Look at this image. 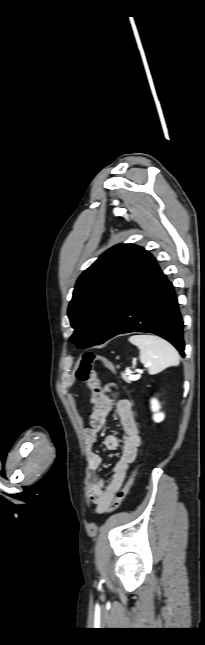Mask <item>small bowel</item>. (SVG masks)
<instances>
[{"label":"small bowel","instance_id":"c3829d8e","mask_svg":"<svg viewBox=\"0 0 205 645\" xmlns=\"http://www.w3.org/2000/svg\"><path fill=\"white\" fill-rule=\"evenodd\" d=\"M115 409L123 427V436L109 435L104 439L108 450H117L122 445L120 459L115 464L109 477H100L97 472L103 459L94 451L98 434L105 426L109 413ZM88 463V498L96 505L97 513L107 511L124 484L130 465L135 461L141 445V435L134 416L131 402L118 395L110 386L100 394L90 416V427L83 431Z\"/></svg>","mask_w":205,"mask_h":645}]
</instances>
